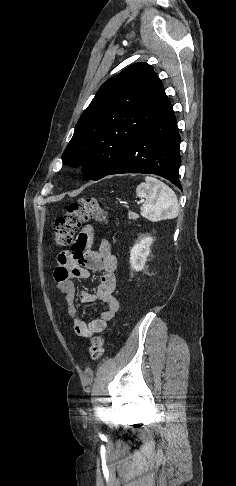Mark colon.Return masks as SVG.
<instances>
[{"label": "colon", "instance_id": "colon-1", "mask_svg": "<svg viewBox=\"0 0 236 486\" xmlns=\"http://www.w3.org/2000/svg\"><path fill=\"white\" fill-rule=\"evenodd\" d=\"M90 220H95L100 223H105L107 220L105 210L96 199H80L70 203L67 213L56 220L55 245L57 247H66L72 244L76 229ZM103 351L104 336L101 334L94 336L89 349L91 358L93 360L100 359Z\"/></svg>", "mask_w": 236, "mask_h": 486}]
</instances>
